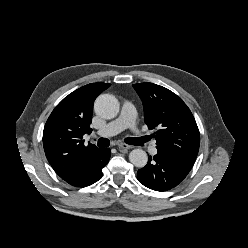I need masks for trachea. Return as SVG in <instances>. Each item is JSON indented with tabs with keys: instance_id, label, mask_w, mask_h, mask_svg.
Returning <instances> with one entry per match:
<instances>
[{
	"instance_id": "trachea-1",
	"label": "trachea",
	"mask_w": 248,
	"mask_h": 248,
	"mask_svg": "<svg viewBox=\"0 0 248 248\" xmlns=\"http://www.w3.org/2000/svg\"><path fill=\"white\" fill-rule=\"evenodd\" d=\"M148 140L147 137H142V138H126L125 142L131 145H141L144 142H146ZM97 145L99 147H108L110 145V141L107 138H100L97 141Z\"/></svg>"
}]
</instances>
